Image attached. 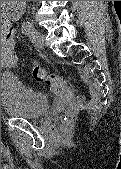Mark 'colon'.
Listing matches in <instances>:
<instances>
[{"mask_svg":"<svg viewBox=\"0 0 121 169\" xmlns=\"http://www.w3.org/2000/svg\"><path fill=\"white\" fill-rule=\"evenodd\" d=\"M14 49L15 44H11L8 41L1 44V61L3 65L10 67L17 63V55ZM33 77L39 82H44L53 95L68 105L69 111L73 112L81 107V103L75 99L73 89L60 75L47 73L41 68L35 67L33 69Z\"/></svg>","mask_w":121,"mask_h":169,"instance_id":"colon-1","label":"colon"}]
</instances>
